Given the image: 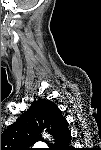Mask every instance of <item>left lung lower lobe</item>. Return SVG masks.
Returning <instances> with one entry per match:
<instances>
[{
	"label": "left lung lower lobe",
	"instance_id": "obj_1",
	"mask_svg": "<svg viewBox=\"0 0 101 150\" xmlns=\"http://www.w3.org/2000/svg\"><path fill=\"white\" fill-rule=\"evenodd\" d=\"M67 125V121L65 123ZM70 132L68 130L65 131V133L62 135L61 138H58L57 142L59 143H65V144H69L70 143Z\"/></svg>",
	"mask_w": 101,
	"mask_h": 150
}]
</instances>
